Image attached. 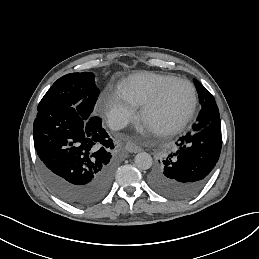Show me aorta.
<instances>
[{
    "mask_svg": "<svg viewBox=\"0 0 259 259\" xmlns=\"http://www.w3.org/2000/svg\"><path fill=\"white\" fill-rule=\"evenodd\" d=\"M134 162L138 169L147 170L152 166L153 160L150 154L140 152L135 156Z\"/></svg>",
    "mask_w": 259,
    "mask_h": 259,
    "instance_id": "762f6f07",
    "label": "aorta"
}]
</instances>
